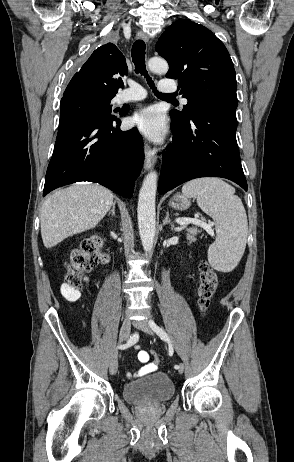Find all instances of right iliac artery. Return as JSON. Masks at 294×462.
<instances>
[{"label":"right iliac artery","mask_w":294,"mask_h":462,"mask_svg":"<svg viewBox=\"0 0 294 462\" xmlns=\"http://www.w3.org/2000/svg\"><path fill=\"white\" fill-rule=\"evenodd\" d=\"M139 339V334L138 333H134L132 336H130V339L127 341L126 344H123V345H119L118 348L119 349H126L130 346H132L133 344H135Z\"/></svg>","instance_id":"82829eb1"}]
</instances>
